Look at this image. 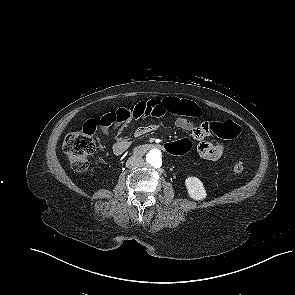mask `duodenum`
<instances>
[{
  "label": "duodenum",
  "mask_w": 295,
  "mask_h": 295,
  "mask_svg": "<svg viewBox=\"0 0 295 295\" xmlns=\"http://www.w3.org/2000/svg\"><path fill=\"white\" fill-rule=\"evenodd\" d=\"M152 149H161V145L155 144V143L142 144V145L135 147L134 153L136 155H142Z\"/></svg>",
  "instance_id": "obj_1"
}]
</instances>
